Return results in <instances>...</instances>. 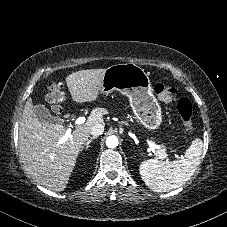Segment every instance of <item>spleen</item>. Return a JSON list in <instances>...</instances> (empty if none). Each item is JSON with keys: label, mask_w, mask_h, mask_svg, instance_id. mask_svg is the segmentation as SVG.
Wrapping results in <instances>:
<instances>
[{"label": "spleen", "mask_w": 227, "mask_h": 227, "mask_svg": "<svg viewBox=\"0 0 227 227\" xmlns=\"http://www.w3.org/2000/svg\"><path fill=\"white\" fill-rule=\"evenodd\" d=\"M203 142L196 138L186 150L184 158L176 161L149 159L139 166L145 184L155 192H168L185 184L196 171L202 156Z\"/></svg>", "instance_id": "obj_1"}]
</instances>
